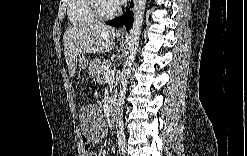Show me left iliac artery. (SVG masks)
<instances>
[{
    "instance_id": "left-iliac-artery-1",
    "label": "left iliac artery",
    "mask_w": 247,
    "mask_h": 156,
    "mask_svg": "<svg viewBox=\"0 0 247 156\" xmlns=\"http://www.w3.org/2000/svg\"><path fill=\"white\" fill-rule=\"evenodd\" d=\"M120 147L122 154L124 155L126 153V143H125V139L123 138L120 139Z\"/></svg>"
}]
</instances>
